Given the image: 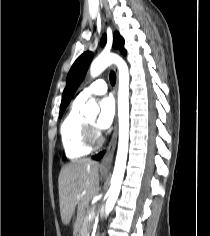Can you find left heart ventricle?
<instances>
[{"label":"left heart ventricle","instance_id":"b2bd125f","mask_svg":"<svg viewBox=\"0 0 210 236\" xmlns=\"http://www.w3.org/2000/svg\"><path fill=\"white\" fill-rule=\"evenodd\" d=\"M88 122L91 123V124H93L94 119H93V118H90V119H88Z\"/></svg>","mask_w":210,"mask_h":236}]
</instances>
